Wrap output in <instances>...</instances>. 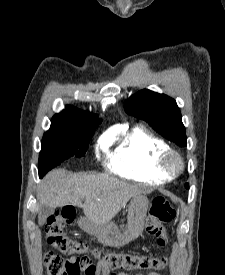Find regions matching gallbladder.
<instances>
[{"label": "gallbladder", "mask_w": 225, "mask_h": 275, "mask_svg": "<svg viewBox=\"0 0 225 275\" xmlns=\"http://www.w3.org/2000/svg\"><path fill=\"white\" fill-rule=\"evenodd\" d=\"M54 213V208L48 206V205H42L39 208L38 212V221L39 223H44L46 219L51 216Z\"/></svg>", "instance_id": "gallbladder-1"}]
</instances>
